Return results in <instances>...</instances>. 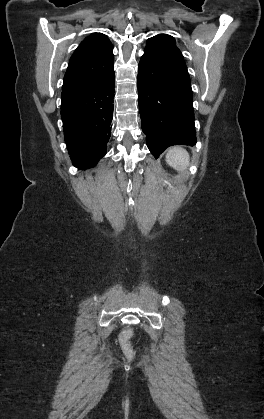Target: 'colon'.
I'll use <instances>...</instances> for the list:
<instances>
[{"label":"colon","mask_w":264,"mask_h":419,"mask_svg":"<svg viewBox=\"0 0 264 419\" xmlns=\"http://www.w3.org/2000/svg\"><path fill=\"white\" fill-rule=\"evenodd\" d=\"M133 333L134 332L131 328H127L121 333L120 336V344L123 354L127 359L130 360L134 358V352L130 343Z\"/></svg>","instance_id":"colon-1"}]
</instances>
